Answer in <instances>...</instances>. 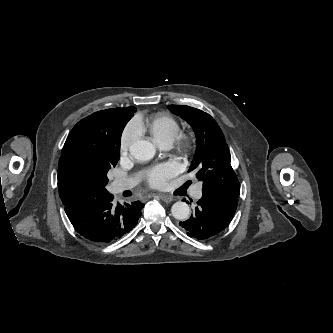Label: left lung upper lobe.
<instances>
[{
  "instance_id": "5c2ea615",
  "label": "left lung upper lobe",
  "mask_w": 333,
  "mask_h": 333,
  "mask_svg": "<svg viewBox=\"0 0 333 333\" xmlns=\"http://www.w3.org/2000/svg\"><path fill=\"white\" fill-rule=\"evenodd\" d=\"M169 110L186 120L196 134V155L188 171L196 172L203 190L216 196L238 197L240 184L217 122L208 113L186 105H170Z\"/></svg>"
}]
</instances>
